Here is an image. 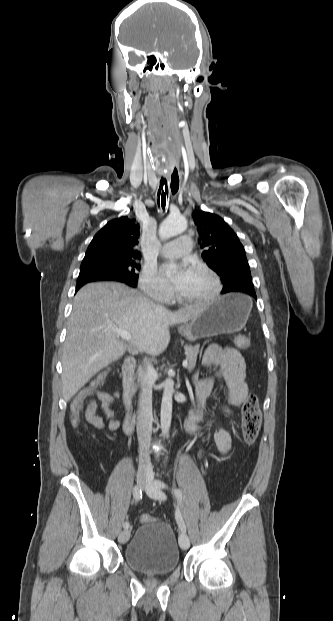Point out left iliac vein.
Returning <instances> with one entry per match:
<instances>
[{
  "label": "left iliac vein",
  "mask_w": 333,
  "mask_h": 621,
  "mask_svg": "<svg viewBox=\"0 0 333 621\" xmlns=\"http://www.w3.org/2000/svg\"><path fill=\"white\" fill-rule=\"evenodd\" d=\"M146 491L151 498H154L156 500H163L165 498L160 488L155 485L154 475L152 472H149L147 476ZM179 545L183 550H187L190 546L189 537L185 532H182L179 535Z\"/></svg>",
  "instance_id": "left-iliac-vein-1"
}]
</instances>
